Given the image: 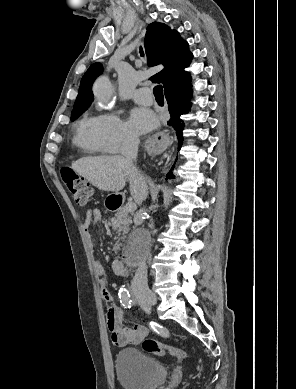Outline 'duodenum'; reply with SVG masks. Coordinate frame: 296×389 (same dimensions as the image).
Returning <instances> with one entry per match:
<instances>
[{"mask_svg": "<svg viewBox=\"0 0 296 389\" xmlns=\"http://www.w3.org/2000/svg\"><path fill=\"white\" fill-rule=\"evenodd\" d=\"M121 205V199H114L110 201L108 207L110 210H116ZM112 269L115 274L119 276H126L128 274V270L125 267L122 261L116 260L112 264Z\"/></svg>", "mask_w": 296, "mask_h": 389, "instance_id": "410a0bca", "label": "duodenum"}]
</instances>
